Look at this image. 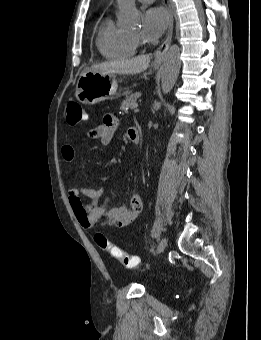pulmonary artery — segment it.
I'll list each match as a JSON object with an SVG mask.
<instances>
[{"mask_svg":"<svg viewBox=\"0 0 261 340\" xmlns=\"http://www.w3.org/2000/svg\"><path fill=\"white\" fill-rule=\"evenodd\" d=\"M140 2H142V3H150V2H152L153 0H139Z\"/></svg>","mask_w":261,"mask_h":340,"instance_id":"e3ab8cb5","label":"pulmonary artery"}]
</instances>
